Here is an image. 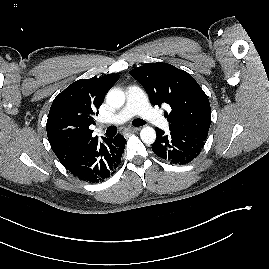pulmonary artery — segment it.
I'll use <instances>...</instances> for the list:
<instances>
[{"label":"pulmonary artery","instance_id":"e3ab8cb5","mask_svg":"<svg viewBox=\"0 0 269 269\" xmlns=\"http://www.w3.org/2000/svg\"><path fill=\"white\" fill-rule=\"evenodd\" d=\"M126 95V105L108 123L121 124L134 115H140L154 125L164 129L168 128L167 120L149 105L142 89L135 85L129 86L126 90Z\"/></svg>","mask_w":269,"mask_h":269}]
</instances>
